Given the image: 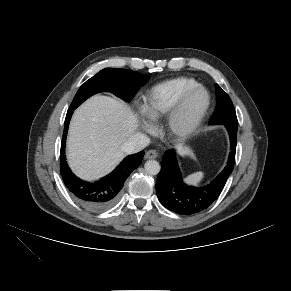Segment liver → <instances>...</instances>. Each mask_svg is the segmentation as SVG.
<instances>
[{
    "label": "liver",
    "mask_w": 291,
    "mask_h": 291,
    "mask_svg": "<svg viewBox=\"0 0 291 291\" xmlns=\"http://www.w3.org/2000/svg\"><path fill=\"white\" fill-rule=\"evenodd\" d=\"M138 119L121 100L95 95L72 117L67 157L77 176L92 180L110 172L124 158L122 145L136 133ZM176 148L185 153L182 145Z\"/></svg>",
    "instance_id": "obj_1"
}]
</instances>
